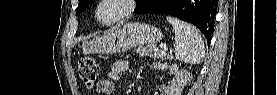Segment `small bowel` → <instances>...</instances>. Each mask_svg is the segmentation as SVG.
I'll list each match as a JSON object with an SVG mask.
<instances>
[{"label":"small bowel","instance_id":"small-bowel-1","mask_svg":"<svg viewBox=\"0 0 277 95\" xmlns=\"http://www.w3.org/2000/svg\"><path fill=\"white\" fill-rule=\"evenodd\" d=\"M158 65V63H157ZM130 68V64L127 60L119 59L116 60L112 66L111 70L108 73V77L102 79L97 87L96 91L100 94H112L115 89V81L119 78L120 75L126 73ZM156 95H171L169 88L161 87L159 88Z\"/></svg>","mask_w":277,"mask_h":95}]
</instances>
